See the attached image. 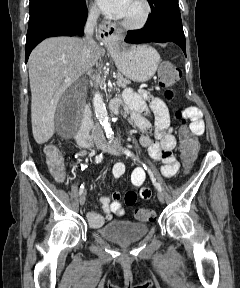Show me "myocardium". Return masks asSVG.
<instances>
[{"instance_id":"f54148a6","label":"myocardium","mask_w":240,"mask_h":288,"mask_svg":"<svg viewBox=\"0 0 240 288\" xmlns=\"http://www.w3.org/2000/svg\"><path fill=\"white\" fill-rule=\"evenodd\" d=\"M139 1L144 9L142 17L137 21H128L125 19L121 21L122 26L128 30H140L144 28L150 20L152 13V7L150 1L149 0H139Z\"/></svg>"}]
</instances>
